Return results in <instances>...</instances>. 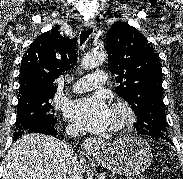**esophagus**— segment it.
Listing matches in <instances>:
<instances>
[{"label":"esophagus","mask_w":183,"mask_h":179,"mask_svg":"<svg viewBox=\"0 0 183 179\" xmlns=\"http://www.w3.org/2000/svg\"><path fill=\"white\" fill-rule=\"evenodd\" d=\"M84 25L87 28H92L95 25V23L93 20H88L84 23ZM106 143V141H103L101 139L91 138L86 140V142L84 143V147L88 153L98 154L101 151V149L106 145Z\"/></svg>","instance_id":"esophagus-1"}]
</instances>
